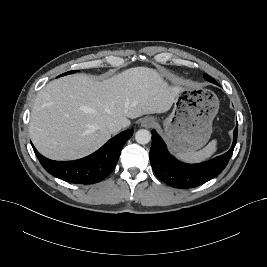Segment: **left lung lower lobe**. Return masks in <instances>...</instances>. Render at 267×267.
I'll use <instances>...</instances> for the list:
<instances>
[{"label": "left lung lower lobe", "mask_w": 267, "mask_h": 267, "mask_svg": "<svg viewBox=\"0 0 267 267\" xmlns=\"http://www.w3.org/2000/svg\"><path fill=\"white\" fill-rule=\"evenodd\" d=\"M213 83H216L212 80ZM217 84V83H216ZM238 125L234 130L232 147L225 154L199 164H185L175 159L166 149L162 138L152 130L150 162L159 179L175 188H194L219 175L232 156L237 142Z\"/></svg>", "instance_id": "obj_1"}]
</instances>
